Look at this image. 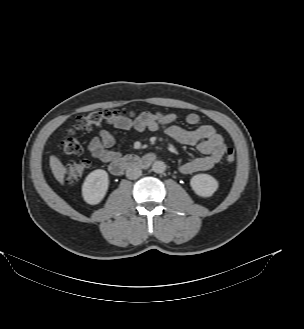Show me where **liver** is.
I'll return each instance as SVG.
<instances>
[{
    "label": "liver",
    "instance_id": "6515ba94",
    "mask_svg": "<svg viewBox=\"0 0 304 329\" xmlns=\"http://www.w3.org/2000/svg\"><path fill=\"white\" fill-rule=\"evenodd\" d=\"M50 168L52 170V173L56 180L60 184H64V178H65V173H66V168L64 165L61 163V161L54 155L50 156L49 160Z\"/></svg>",
    "mask_w": 304,
    "mask_h": 329
}]
</instances>
